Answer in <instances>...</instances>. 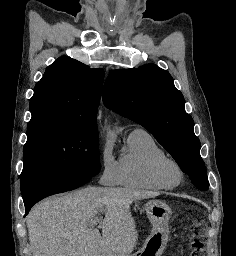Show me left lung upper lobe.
<instances>
[{"label":"left lung upper lobe","mask_w":236,"mask_h":256,"mask_svg":"<svg viewBox=\"0 0 236 256\" xmlns=\"http://www.w3.org/2000/svg\"><path fill=\"white\" fill-rule=\"evenodd\" d=\"M103 101L153 134L199 190L209 188L194 121L166 70L154 64L114 70L105 81Z\"/></svg>","instance_id":"1"}]
</instances>
